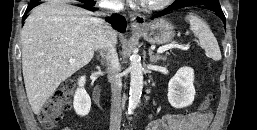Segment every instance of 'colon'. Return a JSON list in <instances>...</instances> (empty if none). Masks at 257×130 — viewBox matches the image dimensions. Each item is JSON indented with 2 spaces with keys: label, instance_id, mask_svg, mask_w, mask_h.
Instances as JSON below:
<instances>
[{
  "label": "colon",
  "instance_id": "1",
  "mask_svg": "<svg viewBox=\"0 0 257 130\" xmlns=\"http://www.w3.org/2000/svg\"><path fill=\"white\" fill-rule=\"evenodd\" d=\"M76 89V82L74 80L66 81L44 104L40 114L39 122L46 128H53L56 123L61 119L64 112L70 108L71 97ZM214 100V94H208L205 99L200 103L199 110L206 112L212 101Z\"/></svg>",
  "mask_w": 257,
  "mask_h": 130
}]
</instances>
